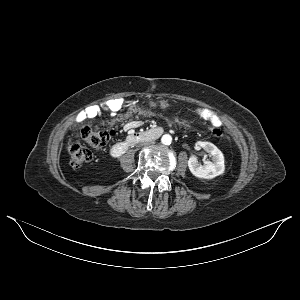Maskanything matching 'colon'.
Here are the masks:
<instances>
[{"label":"colon","mask_w":300,"mask_h":300,"mask_svg":"<svg viewBox=\"0 0 300 300\" xmlns=\"http://www.w3.org/2000/svg\"><path fill=\"white\" fill-rule=\"evenodd\" d=\"M169 122L183 123L184 121L179 117H171ZM211 132L217 138L222 137V131L216 127H212ZM81 135L85 143L96 150H102L114 138L115 133L112 130H105L96 126H85L82 129ZM68 154L70 165L75 169H79L91 161L93 156L90 149L78 142H72L69 145Z\"/></svg>","instance_id":"1"}]
</instances>
